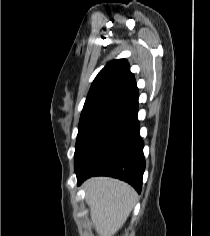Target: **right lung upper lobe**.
<instances>
[{
    "mask_svg": "<svg viewBox=\"0 0 210 236\" xmlns=\"http://www.w3.org/2000/svg\"><path fill=\"white\" fill-rule=\"evenodd\" d=\"M119 90H138L134 75L125 59L113 60L99 72L92 83L86 102L104 98Z\"/></svg>",
    "mask_w": 210,
    "mask_h": 236,
    "instance_id": "1",
    "label": "right lung upper lobe"
}]
</instances>
